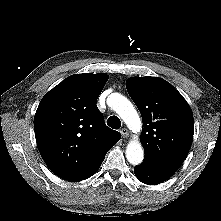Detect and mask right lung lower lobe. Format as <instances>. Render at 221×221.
<instances>
[{"label": "right lung lower lobe", "mask_w": 221, "mask_h": 221, "mask_svg": "<svg viewBox=\"0 0 221 221\" xmlns=\"http://www.w3.org/2000/svg\"><path fill=\"white\" fill-rule=\"evenodd\" d=\"M99 167H100V166H99ZM99 167H98V168H99ZM98 168H97L91 175H93V174L98 170ZM91 175H90V176H91ZM90 176H89V177H90ZM87 178H88V177H87Z\"/></svg>", "instance_id": "1"}]
</instances>
